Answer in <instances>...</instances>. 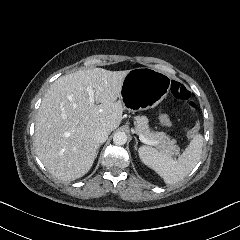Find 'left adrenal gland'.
<instances>
[{"label":"left adrenal gland","instance_id":"obj_1","mask_svg":"<svg viewBox=\"0 0 240 240\" xmlns=\"http://www.w3.org/2000/svg\"><path fill=\"white\" fill-rule=\"evenodd\" d=\"M135 138L136 144H135V150H138V138L134 135L133 136Z\"/></svg>","mask_w":240,"mask_h":240}]
</instances>
